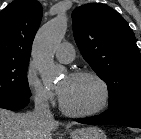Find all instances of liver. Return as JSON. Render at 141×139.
I'll list each match as a JSON object with an SVG mask.
<instances>
[{
  "instance_id": "6515ba94",
  "label": "liver",
  "mask_w": 141,
  "mask_h": 139,
  "mask_svg": "<svg viewBox=\"0 0 141 139\" xmlns=\"http://www.w3.org/2000/svg\"><path fill=\"white\" fill-rule=\"evenodd\" d=\"M59 122H40L33 112L14 113L0 108V139H52Z\"/></svg>"
}]
</instances>
